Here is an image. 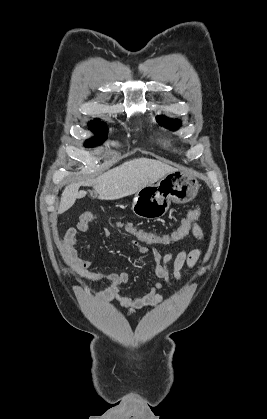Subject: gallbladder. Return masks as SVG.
<instances>
[{
  "instance_id": "gallbladder-1",
  "label": "gallbladder",
  "mask_w": 267,
  "mask_h": 419,
  "mask_svg": "<svg viewBox=\"0 0 267 419\" xmlns=\"http://www.w3.org/2000/svg\"><path fill=\"white\" fill-rule=\"evenodd\" d=\"M91 196L94 198L96 195H95V193L93 194V193L91 192Z\"/></svg>"
}]
</instances>
